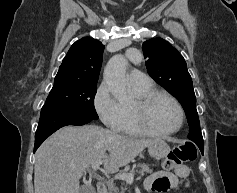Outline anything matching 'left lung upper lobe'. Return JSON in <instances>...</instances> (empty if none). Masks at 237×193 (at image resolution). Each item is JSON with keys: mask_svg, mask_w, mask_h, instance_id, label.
Here are the masks:
<instances>
[{"mask_svg": "<svg viewBox=\"0 0 237 193\" xmlns=\"http://www.w3.org/2000/svg\"><path fill=\"white\" fill-rule=\"evenodd\" d=\"M142 48L149 75L182 105L190 127L188 138L204 148L192 79L183 56L162 38L147 40Z\"/></svg>", "mask_w": 237, "mask_h": 193, "instance_id": "obj_1", "label": "left lung upper lobe"}]
</instances>
